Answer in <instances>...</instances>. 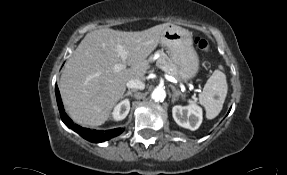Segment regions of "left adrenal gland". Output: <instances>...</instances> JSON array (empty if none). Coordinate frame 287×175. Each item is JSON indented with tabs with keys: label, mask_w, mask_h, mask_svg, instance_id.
I'll use <instances>...</instances> for the list:
<instances>
[{
	"label": "left adrenal gland",
	"mask_w": 287,
	"mask_h": 175,
	"mask_svg": "<svg viewBox=\"0 0 287 175\" xmlns=\"http://www.w3.org/2000/svg\"><path fill=\"white\" fill-rule=\"evenodd\" d=\"M172 91H173V95H172V102L174 103V101H176V98H178L180 95H182V93L177 90L173 85H170Z\"/></svg>",
	"instance_id": "obj_1"
}]
</instances>
